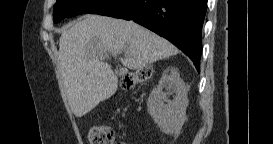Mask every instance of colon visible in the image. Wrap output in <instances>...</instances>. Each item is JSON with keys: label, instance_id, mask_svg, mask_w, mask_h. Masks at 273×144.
<instances>
[{"label": "colon", "instance_id": "obj_1", "mask_svg": "<svg viewBox=\"0 0 273 144\" xmlns=\"http://www.w3.org/2000/svg\"><path fill=\"white\" fill-rule=\"evenodd\" d=\"M151 76L152 70L150 68L139 69L123 79V86L130 89L147 81ZM88 141L91 144H112L114 141V131L109 126L103 124L92 125L88 129Z\"/></svg>", "mask_w": 273, "mask_h": 144}]
</instances>
